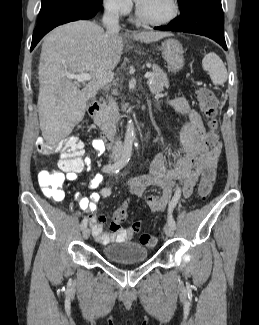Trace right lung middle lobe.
Returning <instances> with one entry per match:
<instances>
[{"label": "right lung middle lobe", "instance_id": "dd1d6c3e", "mask_svg": "<svg viewBox=\"0 0 259 325\" xmlns=\"http://www.w3.org/2000/svg\"><path fill=\"white\" fill-rule=\"evenodd\" d=\"M103 0H42V6L39 13V18L49 10L63 5H82L101 7Z\"/></svg>", "mask_w": 259, "mask_h": 325}]
</instances>
